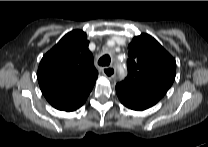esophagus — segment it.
I'll return each instance as SVG.
<instances>
[{
    "label": "esophagus",
    "instance_id": "esophagus-1",
    "mask_svg": "<svg viewBox=\"0 0 208 147\" xmlns=\"http://www.w3.org/2000/svg\"><path fill=\"white\" fill-rule=\"evenodd\" d=\"M102 72L109 79H113L116 75V70H115L114 66L104 67L102 69Z\"/></svg>",
    "mask_w": 208,
    "mask_h": 147
}]
</instances>
